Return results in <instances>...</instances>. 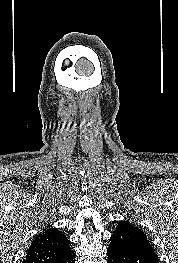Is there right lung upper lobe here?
<instances>
[{
  "mask_svg": "<svg viewBox=\"0 0 178 263\" xmlns=\"http://www.w3.org/2000/svg\"><path fill=\"white\" fill-rule=\"evenodd\" d=\"M70 251L66 236L59 229L49 227L33 239L23 263H53Z\"/></svg>",
  "mask_w": 178,
  "mask_h": 263,
  "instance_id": "obj_1",
  "label": "right lung upper lobe"
}]
</instances>
